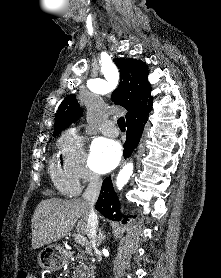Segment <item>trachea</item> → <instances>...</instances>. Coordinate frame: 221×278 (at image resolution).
Masks as SVG:
<instances>
[{
  "label": "trachea",
  "instance_id": "1",
  "mask_svg": "<svg viewBox=\"0 0 221 278\" xmlns=\"http://www.w3.org/2000/svg\"><path fill=\"white\" fill-rule=\"evenodd\" d=\"M117 124H118L120 130L125 131L126 124H125V119L123 117H120L118 119Z\"/></svg>",
  "mask_w": 221,
  "mask_h": 278
}]
</instances>
